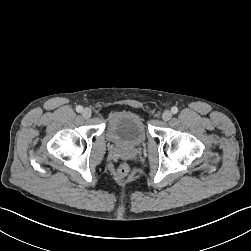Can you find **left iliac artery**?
<instances>
[{
  "label": "left iliac artery",
  "mask_w": 251,
  "mask_h": 251,
  "mask_svg": "<svg viewBox=\"0 0 251 251\" xmlns=\"http://www.w3.org/2000/svg\"><path fill=\"white\" fill-rule=\"evenodd\" d=\"M171 112H172L173 114H177L178 108H177L176 106L172 107V108H171Z\"/></svg>",
  "instance_id": "1"
}]
</instances>
